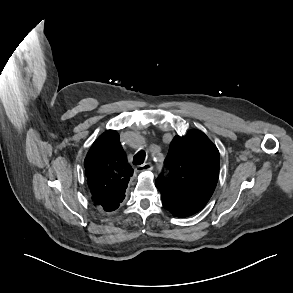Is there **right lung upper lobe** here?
<instances>
[{
	"label": "right lung upper lobe",
	"mask_w": 293,
	"mask_h": 293,
	"mask_svg": "<svg viewBox=\"0 0 293 293\" xmlns=\"http://www.w3.org/2000/svg\"><path fill=\"white\" fill-rule=\"evenodd\" d=\"M84 167L94 203L107 212L116 210L133 175L116 131L107 130L98 137L85 158Z\"/></svg>",
	"instance_id": "cb5924a9"
}]
</instances>
